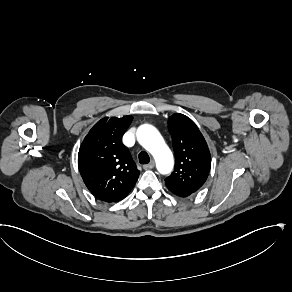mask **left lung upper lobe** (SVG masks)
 <instances>
[{
    "label": "left lung upper lobe",
    "mask_w": 292,
    "mask_h": 292,
    "mask_svg": "<svg viewBox=\"0 0 292 292\" xmlns=\"http://www.w3.org/2000/svg\"><path fill=\"white\" fill-rule=\"evenodd\" d=\"M176 157L174 171L165 179L170 191L195 193L207 180L211 167L208 145L196 124L183 114L168 119Z\"/></svg>",
    "instance_id": "obj_1"
}]
</instances>
